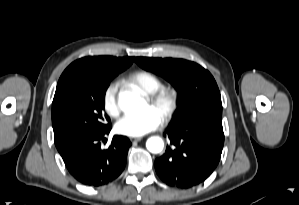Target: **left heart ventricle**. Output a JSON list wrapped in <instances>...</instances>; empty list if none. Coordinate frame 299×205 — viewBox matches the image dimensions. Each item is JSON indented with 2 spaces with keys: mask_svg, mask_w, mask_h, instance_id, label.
<instances>
[{
  "mask_svg": "<svg viewBox=\"0 0 299 205\" xmlns=\"http://www.w3.org/2000/svg\"><path fill=\"white\" fill-rule=\"evenodd\" d=\"M148 107H151L148 103V101H146V104H145V109L148 108ZM153 108V107H151ZM159 115H161V109L160 108H153Z\"/></svg>",
  "mask_w": 299,
  "mask_h": 205,
  "instance_id": "b2bd125f",
  "label": "left heart ventricle"
}]
</instances>
